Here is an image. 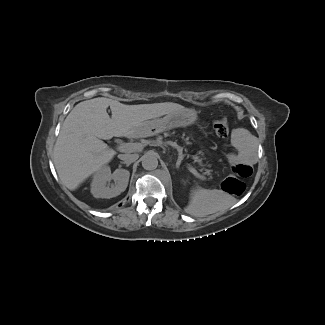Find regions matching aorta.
Instances as JSON below:
<instances>
[{"label": "aorta", "mask_w": 325, "mask_h": 325, "mask_svg": "<svg viewBox=\"0 0 325 325\" xmlns=\"http://www.w3.org/2000/svg\"><path fill=\"white\" fill-rule=\"evenodd\" d=\"M158 166V158L155 152L149 151L142 156V167L146 170H154Z\"/></svg>", "instance_id": "1"}]
</instances>
